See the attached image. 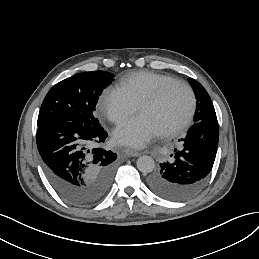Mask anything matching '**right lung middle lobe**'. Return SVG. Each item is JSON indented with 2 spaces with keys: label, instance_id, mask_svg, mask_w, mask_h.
I'll return each instance as SVG.
<instances>
[{
  "label": "right lung middle lobe",
  "instance_id": "1",
  "mask_svg": "<svg viewBox=\"0 0 259 259\" xmlns=\"http://www.w3.org/2000/svg\"><path fill=\"white\" fill-rule=\"evenodd\" d=\"M105 71L78 73L53 86L40 108L37 125L71 121L86 127L100 126L94 111L102 91L114 80Z\"/></svg>",
  "mask_w": 259,
  "mask_h": 259
}]
</instances>
